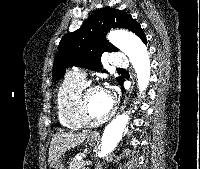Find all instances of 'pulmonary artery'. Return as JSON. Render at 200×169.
<instances>
[{
	"instance_id": "1",
	"label": "pulmonary artery",
	"mask_w": 200,
	"mask_h": 169,
	"mask_svg": "<svg viewBox=\"0 0 200 169\" xmlns=\"http://www.w3.org/2000/svg\"><path fill=\"white\" fill-rule=\"evenodd\" d=\"M110 62L112 65L117 66V67L127 65L126 57L119 51L113 52L112 57L110 58ZM69 77H71L83 84H85V82H86L85 75L82 73L72 72L69 74Z\"/></svg>"
}]
</instances>
